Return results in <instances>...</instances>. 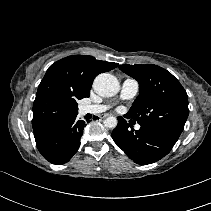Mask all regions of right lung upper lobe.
<instances>
[{
  "mask_svg": "<svg viewBox=\"0 0 211 211\" xmlns=\"http://www.w3.org/2000/svg\"><path fill=\"white\" fill-rule=\"evenodd\" d=\"M117 63L73 55L53 63L38 86L33 104V131L77 114V101L90 96L94 78Z\"/></svg>",
  "mask_w": 211,
  "mask_h": 211,
  "instance_id": "right-lung-upper-lobe-1",
  "label": "right lung upper lobe"
}]
</instances>
